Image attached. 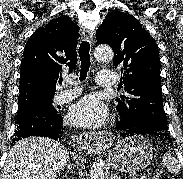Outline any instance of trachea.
Segmentation results:
<instances>
[{"instance_id": "obj_1", "label": "trachea", "mask_w": 183, "mask_h": 179, "mask_svg": "<svg viewBox=\"0 0 183 179\" xmlns=\"http://www.w3.org/2000/svg\"><path fill=\"white\" fill-rule=\"evenodd\" d=\"M90 45L89 42L83 41L79 47V58L81 62L80 70V80H85L87 77V72L89 71L91 60L89 55ZM62 84V81H60Z\"/></svg>"}]
</instances>
